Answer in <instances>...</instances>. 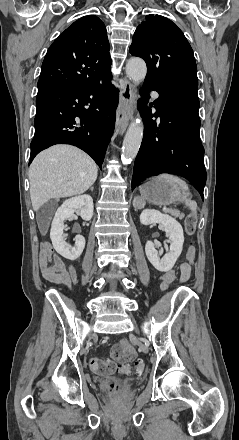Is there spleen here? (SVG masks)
Wrapping results in <instances>:
<instances>
[{
  "instance_id": "1",
  "label": "spleen",
  "mask_w": 239,
  "mask_h": 440,
  "mask_svg": "<svg viewBox=\"0 0 239 440\" xmlns=\"http://www.w3.org/2000/svg\"><path fill=\"white\" fill-rule=\"evenodd\" d=\"M159 178H161V180H165V182H170V184H177V186H179L180 190L183 192V194H179V200L185 202L186 206H188L190 210L196 212L197 204L194 202V200H190V198H188L189 192L186 182H183V180H180V178H177V176H170V174H161Z\"/></svg>"
}]
</instances>
